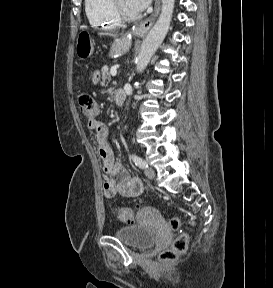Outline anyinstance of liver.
I'll use <instances>...</instances> for the list:
<instances>
[{
    "mask_svg": "<svg viewBox=\"0 0 273 288\" xmlns=\"http://www.w3.org/2000/svg\"><path fill=\"white\" fill-rule=\"evenodd\" d=\"M99 35H108V36H112V37H115L116 35L115 34H112V33H98Z\"/></svg>",
    "mask_w": 273,
    "mask_h": 288,
    "instance_id": "liver-1",
    "label": "liver"
}]
</instances>
